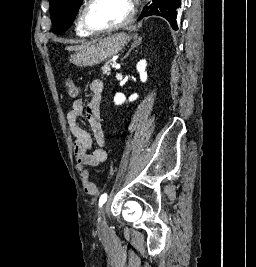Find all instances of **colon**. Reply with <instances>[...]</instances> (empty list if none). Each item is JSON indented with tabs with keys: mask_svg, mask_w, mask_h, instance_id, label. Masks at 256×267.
<instances>
[{
	"mask_svg": "<svg viewBox=\"0 0 256 267\" xmlns=\"http://www.w3.org/2000/svg\"><path fill=\"white\" fill-rule=\"evenodd\" d=\"M65 84L69 98L75 99L80 95V88L74 81L67 80ZM83 187L85 192L91 196L99 194V188L93 182L88 180V172L86 171H84Z\"/></svg>",
	"mask_w": 256,
	"mask_h": 267,
	"instance_id": "5ec220e1",
	"label": "colon"
}]
</instances>
